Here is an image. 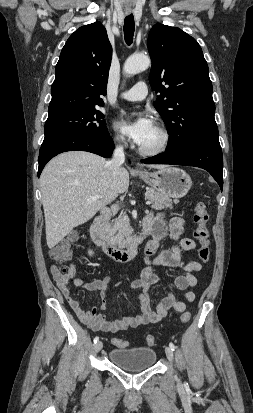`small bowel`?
<instances>
[{"label":"small bowel","mask_w":253,"mask_h":413,"mask_svg":"<svg viewBox=\"0 0 253 413\" xmlns=\"http://www.w3.org/2000/svg\"><path fill=\"white\" fill-rule=\"evenodd\" d=\"M144 222L150 226L152 240L148 242L145 249L146 266L141 271L140 277L131 283V287L134 290L140 291V315L108 321L103 313L98 312L96 306H92L89 310L82 309L79 302L72 296L69 285L72 284L76 287H83L88 291L99 290L102 292V297L104 298L105 290L112 281V278L107 277L103 280L84 282L81 278L76 277V270L72 264L68 266V272L66 274L61 273L56 265H52L50 268L52 277L56 281L59 290L69 306L79 320L94 331L116 333L128 328L157 323L172 309L177 312H183L186 309L185 302L177 299L173 293L165 296L156 306L155 310L152 309L150 289L158 282V276L154 270L156 266L178 268L182 274L174 279L176 288L182 291L184 300L191 302L195 299V292L192 288L197 284L195 274L202 269V265L198 261L182 262V252L190 253L195 249V243L192 239L182 238L186 221L180 217H172L167 225L163 214H150L144 219ZM168 231L170 237L175 241V245L169 250H164L156 254L158 242L165 237ZM105 308L106 304L103 301L101 309L105 310Z\"/></svg>","instance_id":"c3829d8e"}]
</instances>
